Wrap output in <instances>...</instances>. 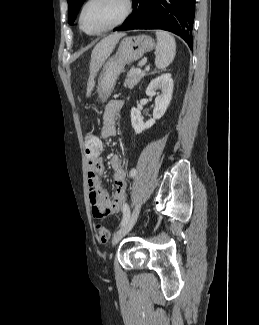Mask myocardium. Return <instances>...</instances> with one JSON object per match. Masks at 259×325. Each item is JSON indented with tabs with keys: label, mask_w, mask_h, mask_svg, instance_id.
I'll return each mask as SVG.
<instances>
[{
	"label": "myocardium",
	"mask_w": 259,
	"mask_h": 325,
	"mask_svg": "<svg viewBox=\"0 0 259 325\" xmlns=\"http://www.w3.org/2000/svg\"><path fill=\"white\" fill-rule=\"evenodd\" d=\"M91 2H92V0L84 1L82 6L80 7L79 14H78V26H79L80 30L83 33H85L87 35H90V36L101 35V34H104V33L108 32V31L120 26L121 24H123L129 18V16L132 13V10H133V2H132V0H123L124 12L116 22H114L113 24L109 25L108 27H106V28H104L102 30H99V31H96V32H89L84 28L82 19H83V13H84L85 8Z\"/></svg>",
	"instance_id": "obj_1"
}]
</instances>
